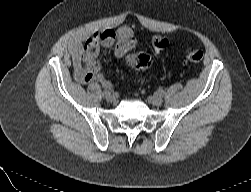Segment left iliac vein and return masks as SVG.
Wrapping results in <instances>:
<instances>
[{"instance_id": "4c4485c4", "label": "left iliac vein", "mask_w": 251, "mask_h": 192, "mask_svg": "<svg viewBox=\"0 0 251 192\" xmlns=\"http://www.w3.org/2000/svg\"><path fill=\"white\" fill-rule=\"evenodd\" d=\"M148 101L150 104L154 105V106H160L163 103V100L160 96L154 95V96H150L148 98Z\"/></svg>"}]
</instances>
